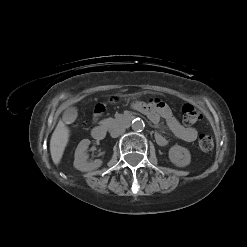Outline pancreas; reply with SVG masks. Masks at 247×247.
<instances>
[{"mask_svg":"<svg viewBox=\"0 0 247 247\" xmlns=\"http://www.w3.org/2000/svg\"><path fill=\"white\" fill-rule=\"evenodd\" d=\"M114 122H115V119L107 118V119L100 121V124L103 126H109V125L113 124Z\"/></svg>","mask_w":247,"mask_h":247,"instance_id":"obj_1","label":"pancreas"}]
</instances>
